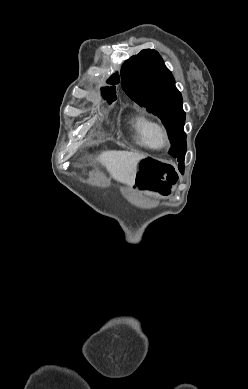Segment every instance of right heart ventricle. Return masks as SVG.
I'll return each instance as SVG.
<instances>
[{
  "instance_id": "right-heart-ventricle-1",
  "label": "right heart ventricle",
  "mask_w": 248,
  "mask_h": 389,
  "mask_svg": "<svg viewBox=\"0 0 248 389\" xmlns=\"http://www.w3.org/2000/svg\"><path fill=\"white\" fill-rule=\"evenodd\" d=\"M158 124L149 116L139 113L129 120V127L136 142L146 148H155L153 134Z\"/></svg>"
}]
</instances>
